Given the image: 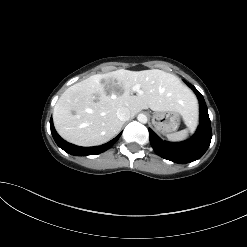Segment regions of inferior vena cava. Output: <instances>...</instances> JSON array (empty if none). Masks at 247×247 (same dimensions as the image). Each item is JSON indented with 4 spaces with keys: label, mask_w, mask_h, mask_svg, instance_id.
I'll return each instance as SVG.
<instances>
[{
    "label": "inferior vena cava",
    "mask_w": 247,
    "mask_h": 247,
    "mask_svg": "<svg viewBox=\"0 0 247 247\" xmlns=\"http://www.w3.org/2000/svg\"><path fill=\"white\" fill-rule=\"evenodd\" d=\"M116 115L119 120L121 121H127L131 117L130 110L127 107H120L117 109Z\"/></svg>",
    "instance_id": "1"
}]
</instances>
